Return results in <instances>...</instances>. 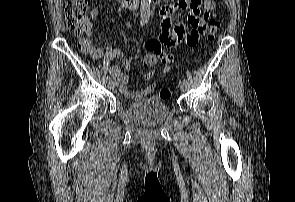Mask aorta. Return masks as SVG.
Here are the masks:
<instances>
[{"instance_id": "aorta-1", "label": "aorta", "mask_w": 295, "mask_h": 202, "mask_svg": "<svg viewBox=\"0 0 295 202\" xmlns=\"http://www.w3.org/2000/svg\"><path fill=\"white\" fill-rule=\"evenodd\" d=\"M150 4L151 0H140L141 16L143 19H149L150 17Z\"/></svg>"}]
</instances>
